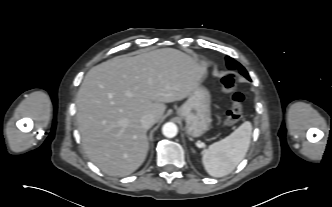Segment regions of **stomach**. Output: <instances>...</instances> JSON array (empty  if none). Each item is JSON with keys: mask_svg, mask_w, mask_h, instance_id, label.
I'll return each mask as SVG.
<instances>
[{"mask_svg": "<svg viewBox=\"0 0 332 207\" xmlns=\"http://www.w3.org/2000/svg\"><path fill=\"white\" fill-rule=\"evenodd\" d=\"M210 93L199 84L188 96L186 102L177 109V115L185 120L186 133L191 137L203 135L210 127Z\"/></svg>", "mask_w": 332, "mask_h": 207, "instance_id": "obj_1", "label": "stomach"}]
</instances>
